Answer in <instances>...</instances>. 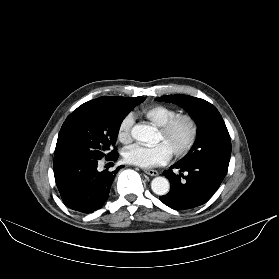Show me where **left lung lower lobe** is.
<instances>
[{
	"label": "left lung lower lobe",
	"instance_id": "1",
	"mask_svg": "<svg viewBox=\"0 0 279 279\" xmlns=\"http://www.w3.org/2000/svg\"><path fill=\"white\" fill-rule=\"evenodd\" d=\"M173 169L186 171L176 175ZM164 175L170 181V192L160 200L175 210H185L206 203L217 191L223 181L227 168L217 162L197 160L189 163H175Z\"/></svg>",
	"mask_w": 279,
	"mask_h": 279
}]
</instances>
